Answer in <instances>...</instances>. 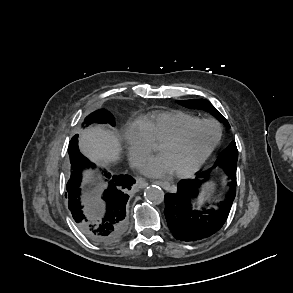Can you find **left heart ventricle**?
I'll return each mask as SVG.
<instances>
[{
	"label": "left heart ventricle",
	"instance_id": "1",
	"mask_svg": "<svg viewBox=\"0 0 293 293\" xmlns=\"http://www.w3.org/2000/svg\"><path fill=\"white\" fill-rule=\"evenodd\" d=\"M217 135V128L211 124L193 126L183 139L168 146H159V153L166 158L174 172L191 167L208 149Z\"/></svg>",
	"mask_w": 293,
	"mask_h": 293
}]
</instances>
